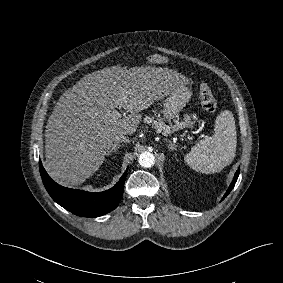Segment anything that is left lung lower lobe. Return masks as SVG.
<instances>
[{"label":"left lung lower lobe","mask_w":283,"mask_h":283,"mask_svg":"<svg viewBox=\"0 0 283 283\" xmlns=\"http://www.w3.org/2000/svg\"><path fill=\"white\" fill-rule=\"evenodd\" d=\"M239 176V169L236 171L235 175H234V178H233V181L231 183V185L229 186L227 192L225 193V195L223 196V199L230 193V191L233 189L236 181H237V178Z\"/></svg>","instance_id":"1"}]
</instances>
